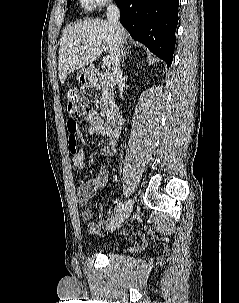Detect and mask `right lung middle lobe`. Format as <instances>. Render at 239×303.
Instances as JSON below:
<instances>
[{
	"mask_svg": "<svg viewBox=\"0 0 239 303\" xmlns=\"http://www.w3.org/2000/svg\"><path fill=\"white\" fill-rule=\"evenodd\" d=\"M71 4V0H68L67 7Z\"/></svg>",
	"mask_w": 239,
	"mask_h": 303,
	"instance_id": "dd1d6c3e",
	"label": "right lung middle lobe"
}]
</instances>
